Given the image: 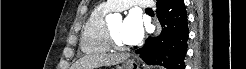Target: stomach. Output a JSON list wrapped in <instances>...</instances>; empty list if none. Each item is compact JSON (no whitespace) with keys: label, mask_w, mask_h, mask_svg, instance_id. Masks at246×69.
<instances>
[{"label":"stomach","mask_w":246,"mask_h":69,"mask_svg":"<svg viewBox=\"0 0 246 69\" xmlns=\"http://www.w3.org/2000/svg\"><path fill=\"white\" fill-rule=\"evenodd\" d=\"M122 69H139V65L134 60H128L124 63Z\"/></svg>","instance_id":"0dacf381"}]
</instances>
